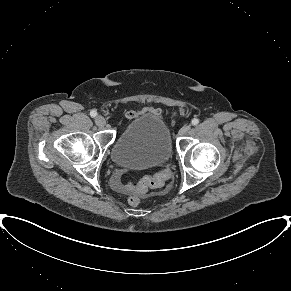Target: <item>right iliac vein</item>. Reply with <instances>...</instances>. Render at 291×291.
I'll use <instances>...</instances> for the list:
<instances>
[{
  "mask_svg": "<svg viewBox=\"0 0 291 291\" xmlns=\"http://www.w3.org/2000/svg\"><path fill=\"white\" fill-rule=\"evenodd\" d=\"M95 122L99 127H103L106 124L105 118L103 116H100V115L96 117Z\"/></svg>",
  "mask_w": 291,
  "mask_h": 291,
  "instance_id": "right-iliac-vein-1",
  "label": "right iliac vein"
}]
</instances>
